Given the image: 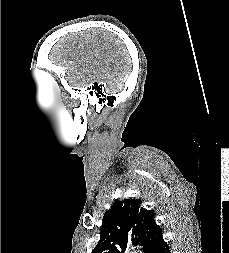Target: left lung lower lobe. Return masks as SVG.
<instances>
[{
    "label": "left lung lower lobe",
    "instance_id": "1",
    "mask_svg": "<svg viewBox=\"0 0 229 253\" xmlns=\"http://www.w3.org/2000/svg\"><path fill=\"white\" fill-rule=\"evenodd\" d=\"M152 253H170L169 246L164 239L158 242Z\"/></svg>",
    "mask_w": 229,
    "mask_h": 253
}]
</instances>
